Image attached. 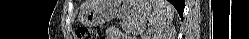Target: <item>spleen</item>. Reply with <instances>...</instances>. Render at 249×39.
I'll list each match as a JSON object with an SVG mask.
<instances>
[{"instance_id":"obj_1","label":"spleen","mask_w":249,"mask_h":39,"mask_svg":"<svg viewBox=\"0 0 249 39\" xmlns=\"http://www.w3.org/2000/svg\"><path fill=\"white\" fill-rule=\"evenodd\" d=\"M150 2L154 12L149 21L156 29H162L173 20L175 10L167 0H150Z\"/></svg>"}]
</instances>
